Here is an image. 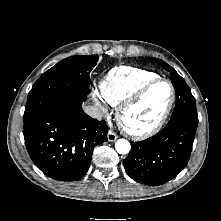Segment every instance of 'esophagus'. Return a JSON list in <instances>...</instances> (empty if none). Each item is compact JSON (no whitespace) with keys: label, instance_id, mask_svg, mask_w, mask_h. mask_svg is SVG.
I'll list each match as a JSON object with an SVG mask.
<instances>
[{"label":"esophagus","instance_id":"obj_1","mask_svg":"<svg viewBox=\"0 0 221 221\" xmlns=\"http://www.w3.org/2000/svg\"><path fill=\"white\" fill-rule=\"evenodd\" d=\"M107 138H108V141L113 142L117 140L118 135L110 130L107 134Z\"/></svg>","mask_w":221,"mask_h":221}]
</instances>
